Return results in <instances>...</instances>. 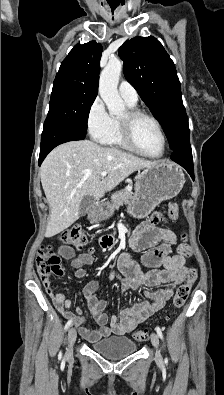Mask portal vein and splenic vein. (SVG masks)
<instances>
[{"label": "portal vein and splenic vein", "instance_id": "1", "mask_svg": "<svg viewBox=\"0 0 224 395\" xmlns=\"http://www.w3.org/2000/svg\"><path fill=\"white\" fill-rule=\"evenodd\" d=\"M107 174H108V173H107L106 171H103V172L101 173V176H102V177H105Z\"/></svg>", "mask_w": 224, "mask_h": 395}]
</instances>
